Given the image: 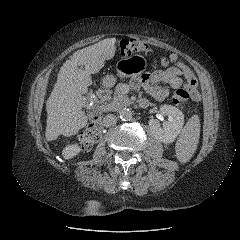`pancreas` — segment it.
<instances>
[{
	"label": "pancreas",
	"mask_w": 240,
	"mask_h": 240,
	"mask_svg": "<svg viewBox=\"0 0 240 240\" xmlns=\"http://www.w3.org/2000/svg\"><path fill=\"white\" fill-rule=\"evenodd\" d=\"M121 87V84H118L116 86L114 91V97L109 103V106L113 109H118L120 107L128 106L130 104L128 96L122 92Z\"/></svg>",
	"instance_id": "pancreas-1"
}]
</instances>
